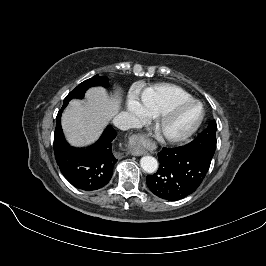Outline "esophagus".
<instances>
[{
    "mask_svg": "<svg viewBox=\"0 0 266 266\" xmlns=\"http://www.w3.org/2000/svg\"><path fill=\"white\" fill-rule=\"evenodd\" d=\"M143 138L142 136H133L129 139V151L134 156H141L147 153L143 148Z\"/></svg>",
    "mask_w": 266,
    "mask_h": 266,
    "instance_id": "esophagus-1",
    "label": "esophagus"
}]
</instances>
